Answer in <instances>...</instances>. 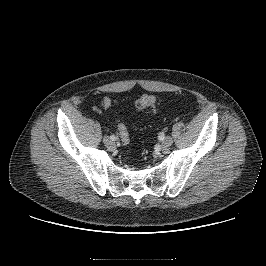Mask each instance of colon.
Wrapping results in <instances>:
<instances>
[{"instance_id":"5ec220e1","label":"colon","mask_w":266,"mask_h":266,"mask_svg":"<svg viewBox=\"0 0 266 266\" xmlns=\"http://www.w3.org/2000/svg\"><path fill=\"white\" fill-rule=\"evenodd\" d=\"M155 102H156V98L154 95L143 94L136 100L135 106L138 109H146V108L153 107L155 105ZM118 129H119L122 143L124 145H128L130 138H129V133H128L127 127L125 126V124L121 123V124H119Z\"/></svg>"}]
</instances>
